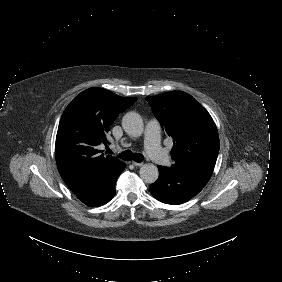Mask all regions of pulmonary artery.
Here are the masks:
<instances>
[{"label":"pulmonary artery","instance_id":"1","mask_svg":"<svg viewBox=\"0 0 282 282\" xmlns=\"http://www.w3.org/2000/svg\"><path fill=\"white\" fill-rule=\"evenodd\" d=\"M160 127L157 122L151 121L148 123L144 132V147L149 149L150 155L153 160L160 161L163 158V153L160 151L158 142L161 139Z\"/></svg>","mask_w":282,"mask_h":282}]
</instances>
